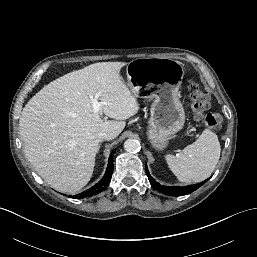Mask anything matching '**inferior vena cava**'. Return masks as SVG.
<instances>
[{
  "instance_id": "inferior-vena-cava-1",
  "label": "inferior vena cava",
  "mask_w": 257,
  "mask_h": 257,
  "mask_svg": "<svg viewBox=\"0 0 257 257\" xmlns=\"http://www.w3.org/2000/svg\"><path fill=\"white\" fill-rule=\"evenodd\" d=\"M116 137V134L114 132H109V131H102L98 134V139L100 141L103 140H112Z\"/></svg>"
}]
</instances>
